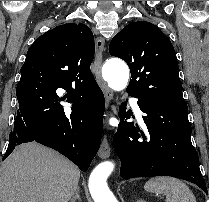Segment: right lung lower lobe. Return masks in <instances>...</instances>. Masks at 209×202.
<instances>
[{
	"label": "right lung lower lobe",
	"mask_w": 209,
	"mask_h": 202,
	"mask_svg": "<svg viewBox=\"0 0 209 202\" xmlns=\"http://www.w3.org/2000/svg\"><path fill=\"white\" fill-rule=\"evenodd\" d=\"M57 88L69 93L70 116L58 103ZM16 96L19 108L3 160L17 144L36 141L86 171L98 152L102 136L104 95L97 83L73 89L48 75H27L21 76Z\"/></svg>",
	"instance_id": "1"
}]
</instances>
